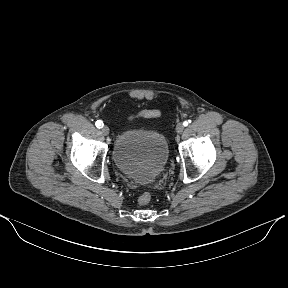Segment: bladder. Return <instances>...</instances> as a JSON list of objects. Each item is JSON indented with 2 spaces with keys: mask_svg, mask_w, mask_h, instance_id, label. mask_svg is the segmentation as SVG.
<instances>
[{
  "mask_svg": "<svg viewBox=\"0 0 288 288\" xmlns=\"http://www.w3.org/2000/svg\"><path fill=\"white\" fill-rule=\"evenodd\" d=\"M112 156L121 172L136 183L149 184L164 169L169 147L166 137L158 130L130 128L116 136Z\"/></svg>",
  "mask_w": 288,
  "mask_h": 288,
  "instance_id": "obj_1",
  "label": "bladder"
}]
</instances>
